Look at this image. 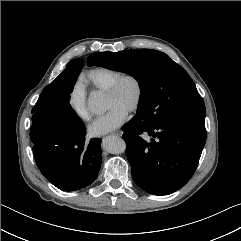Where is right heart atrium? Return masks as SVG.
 <instances>
[{"mask_svg":"<svg viewBox=\"0 0 241 241\" xmlns=\"http://www.w3.org/2000/svg\"><path fill=\"white\" fill-rule=\"evenodd\" d=\"M69 106L73 113L82 121L91 119V111L88 105L87 90L80 82H76L71 89L68 98Z\"/></svg>","mask_w":241,"mask_h":241,"instance_id":"d8ad5b80","label":"right heart atrium"}]
</instances>
